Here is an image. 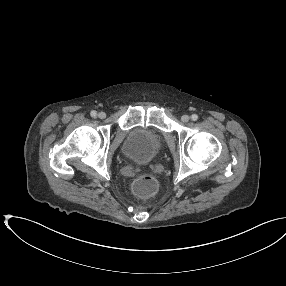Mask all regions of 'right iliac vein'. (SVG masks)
Segmentation results:
<instances>
[{
    "instance_id": "1",
    "label": "right iliac vein",
    "mask_w": 286,
    "mask_h": 286,
    "mask_svg": "<svg viewBox=\"0 0 286 286\" xmlns=\"http://www.w3.org/2000/svg\"><path fill=\"white\" fill-rule=\"evenodd\" d=\"M105 116H106L105 112H99L98 114V117L101 119L105 118Z\"/></svg>"
}]
</instances>
